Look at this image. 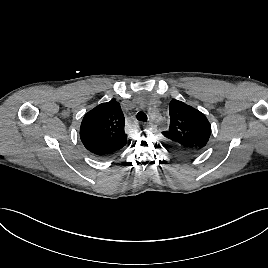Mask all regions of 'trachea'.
Masks as SVG:
<instances>
[{
	"label": "trachea",
	"instance_id": "3493384b",
	"mask_svg": "<svg viewBox=\"0 0 268 268\" xmlns=\"http://www.w3.org/2000/svg\"><path fill=\"white\" fill-rule=\"evenodd\" d=\"M136 117H137V120L139 121H143V122L147 121V115L142 111L138 112Z\"/></svg>",
	"mask_w": 268,
	"mask_h": 268
}]
</instances>
